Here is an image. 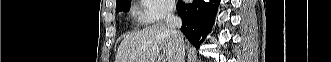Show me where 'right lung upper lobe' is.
Wrapping results in <instances>:
<instances>
[{
    "label": "right lung upper lobe",
    "mask_w": 331,
    "mask_h": 62,
    "mask_svg": "<svg viewBox=\"0 0 331 62\" xmlns=\"http://www.w3.org/2000/svg\"><path fill=\"white\" fill-rule=\"evenodd\" d=\"M121 0H116V3L120 2Z\"/></svg>",
    "instance_id": "right-lung-upper-lobe-1"
}]
</instances>
